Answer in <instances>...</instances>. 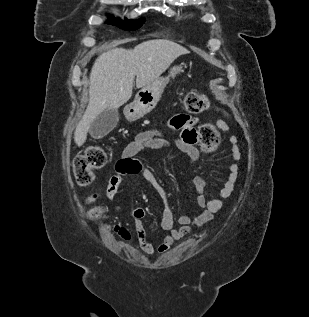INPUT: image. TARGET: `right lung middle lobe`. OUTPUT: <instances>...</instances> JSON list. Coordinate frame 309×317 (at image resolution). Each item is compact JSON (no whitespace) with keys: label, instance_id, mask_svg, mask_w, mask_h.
<instances>
[{"label":"right lung middle lobe","instance_id":"right-lung-middle-lobe-1","mask_svg":"<svg viewBox=\"0 0 309 317\" xmlns=\"http://www.w3.org/2000/svg\"><path fill=\"white\" fill-rule=\"evenodd\" d=\"M144 21H145L144 18H141L135 21L133 20L122 21L120 19H116L115 17L109 16L108 23L111 25L118 26L123 30L132 31V30H137L138 28H140L143 25Z\"/></svg>","mask_w":309,"mask_h":317}]
</instances>
